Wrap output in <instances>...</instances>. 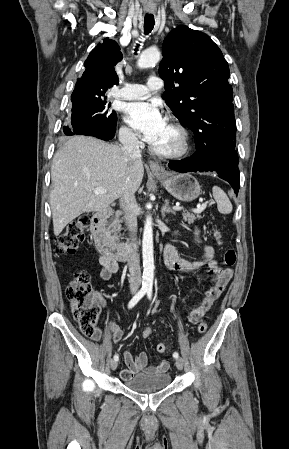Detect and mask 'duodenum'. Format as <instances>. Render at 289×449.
<instances>
[{
	"instance_id": "duodenum-1",
	"label": "duodenum",
	"mask_w": 289,
	"mask_h": 449,
	"mask_svg": "<svg viewBox=\"0 0 289 449\" xmlns=\"http://www.w3.org/2000/svg\"><path fill=\"white\" fill-rule=\"evenodd\" d=\"M111 214L110 208H104L95 213L91 219L90 232L101 255L117 261H125L136 253L139 244H119L109 238L105 231V223Z\"/></svg>"
}]
</instances>
